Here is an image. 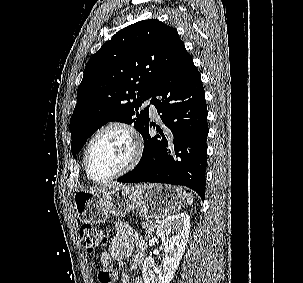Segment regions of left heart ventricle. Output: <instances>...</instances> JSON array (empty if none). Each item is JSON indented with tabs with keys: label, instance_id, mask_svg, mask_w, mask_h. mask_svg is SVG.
<instances>
[{
	"label": "left heart ventricle",
	"instance_id": "1",
	"mask_svg": "<svg viewBox=\"0 0 303 283\" xmlns=\"http://www.w3.org/2000/svg\"><path fill=\"white\" fill-rule=\"evenodd\" d=\"M132 144L129 137L120 130H109L93 143L89 156L90 174L97 179L112 175L129 161Z\"/></svg>",
	"mask_w": 303,
	"mask_h": 283
}]
</instances>
